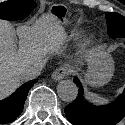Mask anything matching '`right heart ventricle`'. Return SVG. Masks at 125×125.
Here are the masks:
<instances>
[{"label":"right heart ventricle","mask_w":125,"mask_h":125,"mask_svg":"<svg viewBox=\"0 0 125 125\" xmlns=\"http://www.w3.org/2000/svg\"><path fill=\"white\" fill-rule=\"evenodd\" d=\"M75 38H76V34L70 33V34L66 35V37L64 38V42L73 41Z\"/></svg>","instance_id":"right-heart-ventricle-1"}]
</instances>
